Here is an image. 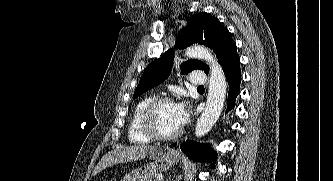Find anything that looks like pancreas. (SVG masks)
Listing matches in <instances>:
<instances>
[{
  "label": "pancreas",
  "mask_w": 333,
  "mask_h": 181,
  "mask_svg": "<svg viewBox=\"0 0 333 181\" xmlns=\"http://www.w3.org/2000/svg\"><path fill=\"white\" fill-rule=\"evenodd\" d=\"M153 181H160L157 177H155L154 179H153Z\"/></svg>",
  "instance_id": "1"
}]
</instances>
